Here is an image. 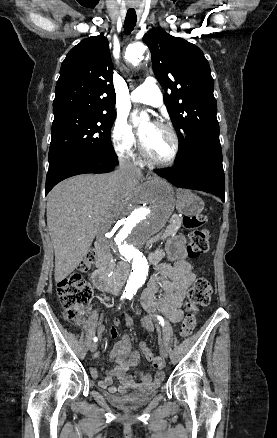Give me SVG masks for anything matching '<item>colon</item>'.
<instances>
[{
  "mask_svg": "<svg viewBox=\"0 0 277 438\" xmlns=\"http://www.w3.org/2000/svg\"><path fill=\"white\" fill-rule=\"evenodd\" d=\"M207 221L205 215L186 216L182 220L183 228L191 233L187 245V255L190 258L198 259L208 249L210 232L204 229ZM98 255V248H89L86 259L80 264V270L88 271L91 261H97ZM56 290L65 315L70 322L80 324L91 299V287L82 276L69 275L59 281ZM211 294L212 286L209 278L198 276L188 290L189 313L181 324L179 330L181 337L186 338L191 335L196 324L197 312L200 307L208 305ZM153 361L156 367H162L163 359L160 356L155 357Z\"/></svg>",
  "mask_w": 277,
  "mask_h": 438,
  "instance_id": "obj_1",
  "label": "colon"
}]
</instances>
